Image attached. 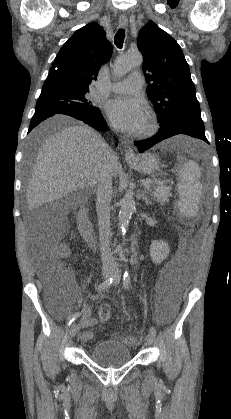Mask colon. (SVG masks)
<instances>
[{
  "label": "colon",
  "mask_w": 231,
  "mask_h": 419,
  "mask_svg": "<svg viewBox=\"0 0 231 419\" xmlns=\"http://www.w3.org/2000/svg\"><path fill=\"white\" fill-rule=\"evenodd\" d=\"M68 255V247L59 243L48 249L44 265L43 275L49 287L53 289L55 285H65L71 281L72 273L63 259ZM101 321L108 322L111 313L107 306H103L99 311ZM124 342L128 345L134 344L133 338H125Z\"/></svg>",
  "instance_id": "obj_1"
}]
</instances>
